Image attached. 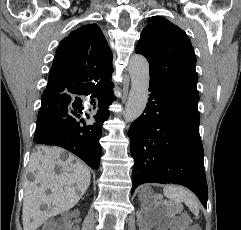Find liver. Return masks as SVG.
<instances>
[{
    "instance_id": "1",
    "label": "liver",
    "mask_w": 241,
    "mask_h": 230,
    "mask_svg": "<svg viewBox=\"0 0 241 230\" xmlns=\"http://www.w3.org/2000/svg\"><path fill=\"white\" fill-rule=\"evenodd\" d=\"M57 147L39 146L31 154L28 172L35 174L33 181L25 183L22 221L24 230H36L50 216L68 211L74 207L87 191L91 174L89 168ZM61 167V174L55 167ZM51 190L47 196L45 191ZM42 204L52 205L50 211H42Z\"/></svg>"
}]
</instances>
